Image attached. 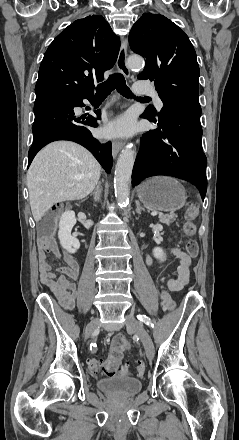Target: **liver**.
<instances>
[{
    "mask_svg": "<svg viewBox=\"0 0 239 440\" xmlns=\"http://www.w3.org/2000/svg\"><path fill=\"white\" fill-rule=\"evenodd\" d=\"M74 176H83L73 180ZM101 176L94 156L74 142H52L35 156L27 172V188L35 222L57 202L82 200L93 192Z\"/></svg>",
    "mask_w": 239,
    "mask_h": 440,
    "instance_id": "6515ba94",
    "label": "liver"
}]
</instances>
